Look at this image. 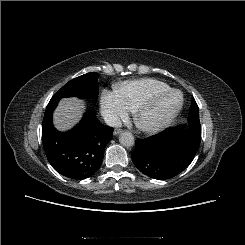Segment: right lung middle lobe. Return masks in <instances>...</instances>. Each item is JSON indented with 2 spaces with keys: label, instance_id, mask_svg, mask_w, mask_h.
<instances>
[{
  "label": "right lung middle lobe",
  "instance_id": "obj_1",
  "mask_svg": "<svg viewBox=\"0 0 245 245\" xmlns=\"http://www.w3.org/2000/svg\"><path fill=\"white\" fill-rule=\"evenodd\" d=\"M99 74L90 72L72 79L53 95L49 103L58 102L65 97L97 98Z\"/></svg>",
  "mask_w": 245,
  "mask_h": 245
}]
</instances>
